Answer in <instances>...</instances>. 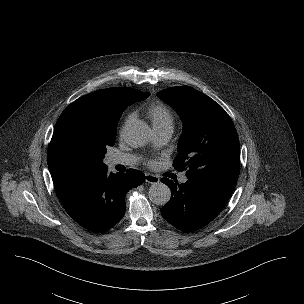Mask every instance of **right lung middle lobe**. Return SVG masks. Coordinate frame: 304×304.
I'll list each match as a JSON object with an SVG mask.
<instances>
[{
	"mask_svg": "<svg viewBox=\"0 0 304 304\" xmlns=\"http://www.w3.org/2000/svg\"><path fill=\"white\" fill-rule=\"evenodd\" d=\"M134 102L135 101L127 102L123 106L121 111L109 120L104 131L99 136L92 138V146L102 156V158L105 157V154L107 152L106 148L108 146H113L115 143L116 126H117L118 120H119L122 112L125 110V108L127 106L133 104Z\"/></svg>",
	"mask_w": 304,
	"mask_h": 304,
	"instance_id": "1",
	"label": "right lung middle lobe"
}]
</instances>
